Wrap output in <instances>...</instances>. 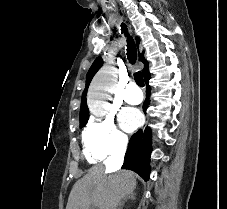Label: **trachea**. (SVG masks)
I'll list each match as a JSON object with an SVG mask.
<instances>
[{
	"instance_id": "trachea-1",
	"label": "trachea",
	"mask_w": 227,
	"mask_h": 209,
	"mask_svg": "<svg viewBox=\"0 0 227 209\" xmlns=\"http://www.w3.org/2000/svg\"><path fill=\"white\" fill-rule=\"evenodd\" d=\"M121 30H122V33H127V26L124 23H122L121 25ZM127 58L130 64H134V62H136L137 60L136 45L133 38L130 37L129 35H127ZM134 79L136 84L139 85V87H144V80H143L142 73L140 71L134 73Z\"/></svg>"
}]
</instances>
